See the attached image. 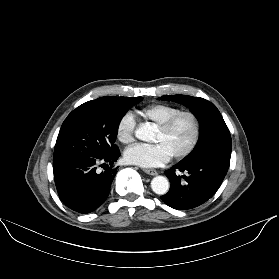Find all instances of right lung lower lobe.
<instances>
[{
  "label": "right lung lower lobe",
  "instance_id": "1",
  "mask_svg": "<svg viewBox=\"0 0 279 279\" xmlns=\"http://www.w3.org/2000/svg\"><path fill=\"white\" fill-rule=\"evenodd\" d=\"M120 156L119 150L102 157L53 159L56 188L62 202L78 213L96 210L108 197L116 169L108 167ZM99 167H104L101 171Z\"/></svg>",
  "mask_w": 279,
  "mask_h": 279
}]
</instances>
